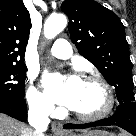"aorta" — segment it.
<instances>
[{"label":"aorta","instance_id":"obj_1","mask_svg":"<svg viewBox=\"0 0 136 136\" xmlns=\"http://www.w3.org/2000/svg\"><path fill=\"white\" fill-rule=\"evenodd\" d=\"M67 25L66 16L63 14L51 15L44 23V36L47 39L56 37Z\"/></svg>","mask_w":136,"mask_h":136}]
</instances>
